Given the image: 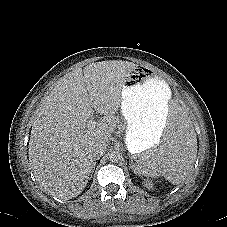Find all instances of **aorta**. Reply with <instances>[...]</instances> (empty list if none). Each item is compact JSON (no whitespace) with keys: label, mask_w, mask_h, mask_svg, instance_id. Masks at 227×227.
Listing matches in <instances>:
<instances>
[{"label":"aorta","mask_w":227,"mask_h":227,"mask_svg":"<svg viewBox=\"0 0 227 227\" xmlns=\"http://www.w3.org/2000/svg\"><path fill=\"white\" fill-rule=\"evenodd\" d=\"M120 158H121V155H120V153L119 152H117V151H113V152H111L110 153V155H109V159H110V161L111 162H118L119 160H120Z\"/></svg>","instance_id":"1"}]
</instances>
